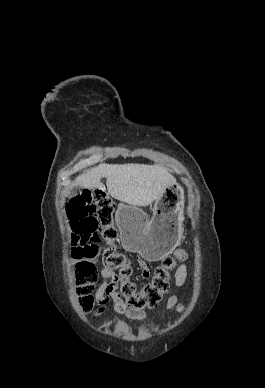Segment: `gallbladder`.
<instances>
[{"instance_id":"bac80fb5","label":"gallbladder","mask_w":265,"mask_h":388,"mask_svg":"<svg viewBox=\"0 0 265 388\" xmlns=\"http://www.w3.org/2000/svg\"><path fill=\"white\" fill-rule=\"evenodd\" d=\"M80 190H81L80 186H75V188L71 190L69 194V198H71V196H76V194H79Z\"/></svg>"}]
</instances>
